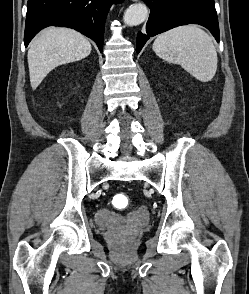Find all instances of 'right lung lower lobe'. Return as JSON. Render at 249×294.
I'll return each instance as SVG.
<instances>
[{
  "instance_id": "obj_1",
  "label": "right lung lower lobe",
  "mask_w": 249,
  "mask_h": 294,
  "mask_svg": "<svg viewBox=\"0 0 249 294\" xmlns=\"http://www.w3.org/2000/svg\"><path fill=\"white\" fill-rule=\"evenodd\" d=\"M123 0H28L25 47L47 26L75 29L94 40L102 52L104 25L110 6Z\"/></svg>"
}]
</instances>
